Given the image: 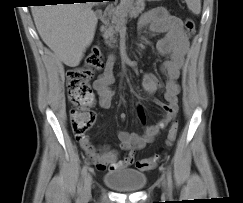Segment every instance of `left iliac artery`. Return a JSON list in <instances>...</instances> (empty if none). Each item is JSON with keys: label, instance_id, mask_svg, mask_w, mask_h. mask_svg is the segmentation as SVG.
<instances>
[{"label": "left iliac artery", "instance_id": "44dca946", "mask_svg": "<svg viewBox=\"0 0 243 203\" xmlns=\"http://www.w3.org/2000/svg\"><path fill=\"white\" fill-rule=\"evenodd\" d=\"M167 180H168V187L172 189V176L169 169L167 170Z\"/></svg>", "mask_w": 243, "mask_h": 203}]
</instances>
